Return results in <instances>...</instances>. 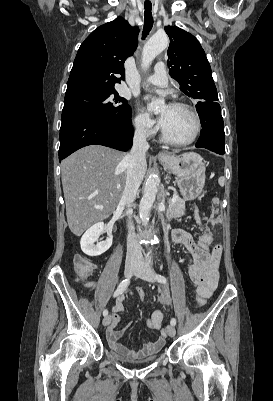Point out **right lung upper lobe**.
Listing matches in <instances>:
<instances>
[{
	"label": "right lung upper lobe",
	"mask_w": 273,
	"mask_h": 401,
	"mask_svg": "<svg viewBox=\"0 0 273 401\" xmlns=\"http://www.w3.org/2000/svg\"><path fill=\"white\" fill-rule=\"evenodd\" d=\"M138 34V27L120 17L96 28L78 50L66 95L115 90V83L124 80V62L137 48Z\"/></svg>",
	"instance_id": "cb5924a9"
}]
</instances>
